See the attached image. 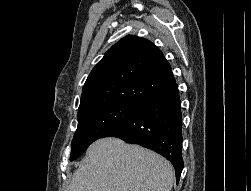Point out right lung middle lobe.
Masks as SVG:
<instances>
[{
  "label": "right lung middle lobe",
  "mask_w": 251,
  "mask_h": 191,
  "mask_svg": "<svg viewBox=\"0 0 251 191\" xmlns=\"http://www.w3.org/2000/svg\"><path fill=\"white\" fill-rule=\"evenodd\" d=\"M141 106L126 102H108L78 111V127L71 143V157H79L94 141L102 138Z\"/></svg>",
  "instance_id": "right-lung-middle-lobe-1"
}]
</instances>
